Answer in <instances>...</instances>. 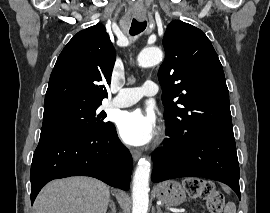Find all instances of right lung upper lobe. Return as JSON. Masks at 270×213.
Listing matches in <instances>:
<instances>
[{
	"instance_id": "obj_1",
	"label": "right lung upper lobe",
	"mask_w": 270,
	"mask_h": 213,
	"mask_svg": "<svg viewBox=\"0 0 270 213\" xmlns=\"http://www.w3.org/2000/svg\"><path fill=\"white\" fill-rule=\"evenodd\" d=\"M115 50L106 29L96 24L75 34L60 53L51 73L45 106L62 101L102 103L108 97Z\"/></svg>"
}]
</instances>
